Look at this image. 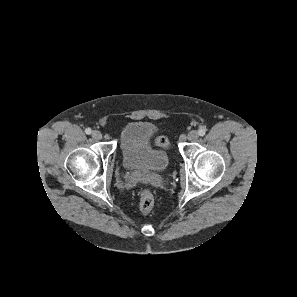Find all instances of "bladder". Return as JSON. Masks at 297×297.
<instances>
[{
  "label": "bladder",
  "mask_w": 297,
  "mask_h": 297,
  "mask_svg": "<svg viewBox=\"0 0 297 297\" xmlns=\"http://www.w3.org/2000/svg\"><path fill=\"white\" fill-rule=\"evenodd\" d=\"M156 132V127L146 121L130 122L123 127L120 149L126 169L155 173L168 168L170 159L167 152L152 145Z\"/></svg>",
  "instance_id": "1"
}]
</instances>
